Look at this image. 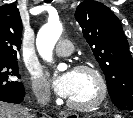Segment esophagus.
Returning a JSON list of instances; mask_svg holds the SVG:
<instances>
[{
	"label": "esophagus",
	"instance_id": "34e87169",
	"mask_svg": "<svg viewBox=\"0 0 133 118\" xmlns=\"http://www.w3.org/2000/svg\"><path fill=\"white\" fill-rule=\"evenodd\" d=\"M60 117L61 118H78L79 116L77 114H74V113L62 111L60 113Z\"/></svg>",
	"mask_w": 133,
	"mask_h": 118
}]
</instances>
